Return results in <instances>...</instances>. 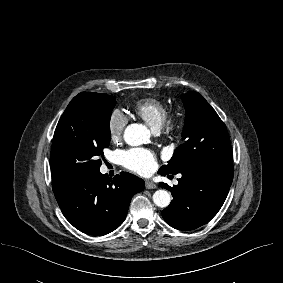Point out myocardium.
I'll return each mask as SVG.
<instances>
[{"instance_id":"obj_1","label":"myocardium","mask_w":283,"mask_h":283,"mask_svg":"<svg viewBox=\"0 0 283 283\" xmlns=\"http://www.w3.org/2000/svg\"><path fill=\"white\" fill-rule=\"evenodd\" d=\"M183 124V117L179 112H172L166 115L160 129L166 134L178 131Z\"/></svg>"}]
</instances>
